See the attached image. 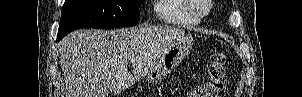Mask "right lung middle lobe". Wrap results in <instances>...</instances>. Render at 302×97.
Wrapping results in <instances>:
<instances>
[{
  "label": "right lung middle lobe",
  "mask_w": 302,
  "mask_h": 97,
  "mask_svg": "<svg viewBox=\"0 0 302 97\" xmlns=\"http://www.w3.org/2000/svg\"><path fill=\"white\" fill-rule=\"evenodd\" d=\"M144 0H65L58 35L79 28H119L138 24Z\"/></svg>",
  "instance_id": "dd1d6c3e"
}]
</instances>
